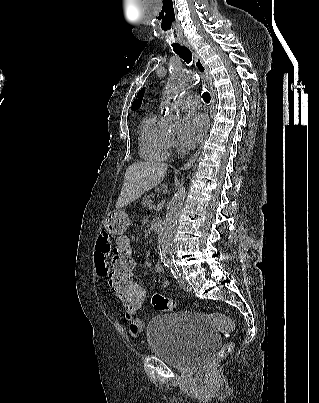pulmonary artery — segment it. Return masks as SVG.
Masks as SVG:
<instances>
[{
	"instance_id": "pulmonary-artery-1",
	"label": "pulmonary artery",
	"mask_w": 319,
	"mask_h": 403,
	"mask_svg": "<svg viewBox=\"0 0 319 403\" xmlns=\"http://www.w3.org/2000/svg\"><path fill=\"white\" fill-rule=\"evenodd\" d=\"M180 104L183 107L195 109L200 106V99L197 94L188 92L181 97Z\"/></svg>"
}]
</instances>
